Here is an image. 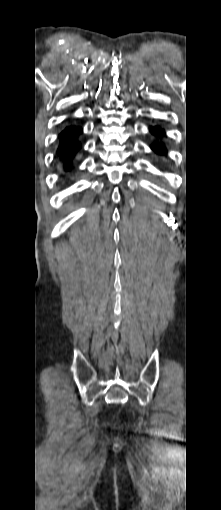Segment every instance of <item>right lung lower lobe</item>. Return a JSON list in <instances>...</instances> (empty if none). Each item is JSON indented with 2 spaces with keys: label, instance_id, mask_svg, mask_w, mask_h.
<instances>
[{
  "label": "right lung lower lobe",
  "instance_id": "obj_1",
  "mask_svg": "<svg viewBox=\"0 0 221 510\" xmlns=\"http://www.w3.org/2000/svg\"><path fill=\"white\" fill-rule=\"evenodd\" d=\"M82 132L79 127H67L59 135L60 145L57 154L63 159L65 170H70V160L75 153L81 148V144L77 141V136Z\"/></svg>",
  "mask_w": 221,
  "mask_h": 510
}]
</instances>
